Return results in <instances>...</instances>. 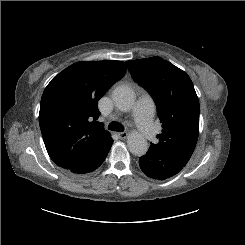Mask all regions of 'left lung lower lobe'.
Listing matches in <instances>:
<instances>
[{"label":"left lung lower lobe","mask_w":245,"mask_h":245,"mask_svg":"<svg viewBox=\"0 0 245 245\" xmlns=\"http://www.w3.org/2000/svg\"><path fill=\"white\" fill-rule=\"evenodd\" d=\"M139 165L145 175L157 180L170 178L184 167L168 154L152 148H149L148 152L140 157Z\"/></svg>","instance_id":"0a47b994"}]
</instances>
